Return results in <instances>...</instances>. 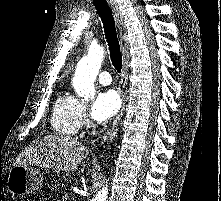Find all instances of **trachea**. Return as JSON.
<instances>
[{"label": "trachea", "mask_w": 221, "mask_h": 201, "mask_svg": "<svg viewBox=\"0 0 221 201\" xmlns=\"http://www.w3.org/2000/svg\"><path fill=\"white\" fill-rule=\"evenodd\" d=\"M93 3L103 23V28L109 46L112 65L115 67L117 72L120 73L122 69V54L120 51L115 21L111 9L105 0H93Z\"/></svg>", "instance_id": "3493384b"}]
</instances>
